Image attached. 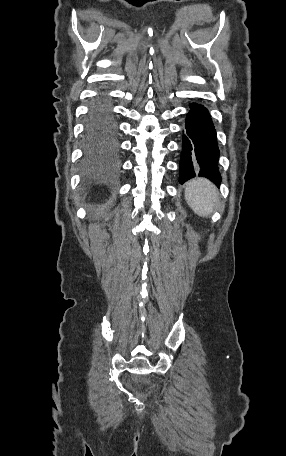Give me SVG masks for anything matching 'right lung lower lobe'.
Segmentation results:
<instances>
[{
    "mask_svg": "<svg viewBox=\"0 0 286 456\" xmlns=\"http://www.w3.org/2000/svg\"><path fill=\"white\" fill-rule=\"evenodd\" d=\"M91 115H96L102 119H105L112 123V130L115 129V122L113 119V114L110 108V103L106 95H100L98 98L95 99L93 106L91 108L89 117ZM112 133L108 131L105 135Z\"/></svg>",
    "mask_w": 286,
    "mask_h": 456,
    "instance_id": "right-lung-lower-lobe-1",
    "label": "right lung lower lobe"
}]
</instances>
